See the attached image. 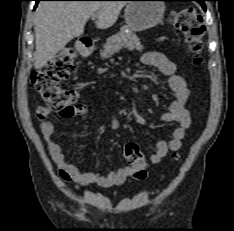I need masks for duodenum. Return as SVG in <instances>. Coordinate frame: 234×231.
<instances>
[{"label":"duodenum","instance_id":"obj_1","mask_svg":"<svg viewBox=\"0 0 234 231\" xmlns=\"http://www.w3.org/2000/svg\"><path fill=\"white\" fill-rule=\"evenodd\" d=\"M79 52L87 57L90 56L94 49V43L90 38H81L77 43Z\"/></svg>","mask_w":234,"mask_h":231}]
</instances>
